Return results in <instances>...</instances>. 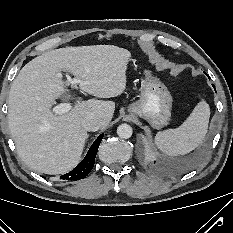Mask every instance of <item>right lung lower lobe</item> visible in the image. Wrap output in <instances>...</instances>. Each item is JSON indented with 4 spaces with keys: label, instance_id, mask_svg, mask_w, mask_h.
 I'll return each mask as SVG.
<instances>
[{
    "label": "right lung lower lobe",
    "instance_id": "98d812e1",
    "mask_svg": "<svg viewBox=\"0 0 233 233\" xmlns=\"http://www.w3.org/2000/svg\"><path fill=\"white\" fill-rule=\"evenodd\" d=\"M104 134H101L98 136V138L94 141L92 146L90 147L87 155L85 158L81 161V163L75 167L72 171L69 173H66L61 176V179L63 180H80L86 177L89 172L92 170L94 163H95V158L96 154L98 151V147L101 143V140L103 138Z\"/></svg>",
    "mask_w": 233,
    "mask_h": 233
}]
</instances>
